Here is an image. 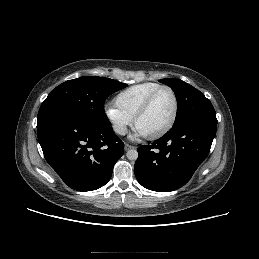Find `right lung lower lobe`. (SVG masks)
Masks as SVG:
<instances>
[{"label":"right lung lower lobe","instance_id":"obj_1","mask_svg":"<svg viewBox=\"0 0 259 259\" xmlns=\"http://www.w3.org/2000/svg\"><path fill=\"white\" fill-rule=\"evenodd\" d=\"M38 140L46 161L67 186L92 191L111 178L124 143L109 121L62 113L37 123Z\"/></svg>","mask_w":259,"mask_h":259}]
</instances>
